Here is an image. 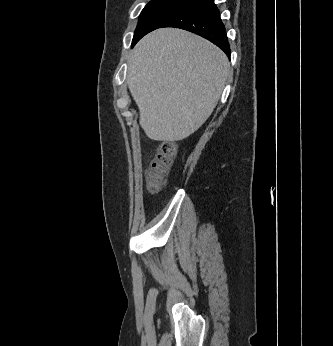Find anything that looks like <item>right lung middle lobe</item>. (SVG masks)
Segmentation results:
<instances>
[{"label":"right lung middle lobe","instance_id":"obj_1","mask_svg":"<svg viewBox=\"0 0 333 346\" xmlns=\"http://www.w3.org/2000/svg\"><path fill=\"white\" fill-rule=\"evenodd\" d=\"M187 0H151L142 10L132 47L147 33L162 27Z\"/></svg>","mask_w":333,"mask_h":346}]
</instances>
